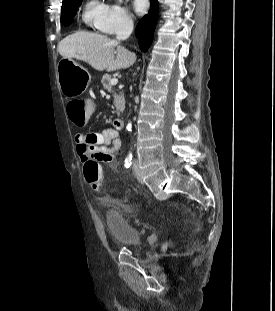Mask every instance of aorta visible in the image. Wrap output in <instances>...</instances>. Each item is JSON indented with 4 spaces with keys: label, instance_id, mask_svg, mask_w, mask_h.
I'll list each match as a JSON object with an SVG mask.
<instances>
[{
    "label": "aorta",
    "instance_id": "1",
    "mask_svg": "<svg viewBox=\"0 0 275 311\" xmlns=\"http://www.w3.org/2000/svg\"><path fill=\"white\" fill-rule=\"evenodd\" d=\"M126 128H127V130H128V131H131V129H132V125H131V123H130V122L127 124V127H126Z\"/></svg>",
    "mask_w": 275,
    "mask_h": 311
}]
</instances>
